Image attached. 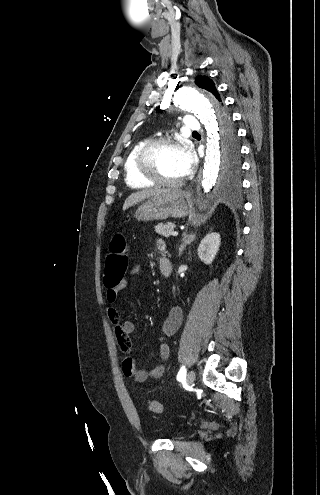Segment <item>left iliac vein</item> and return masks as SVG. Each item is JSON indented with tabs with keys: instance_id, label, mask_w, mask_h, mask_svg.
<instances>
[{
	"instance_id": "1",
	"label": "left iliac vein",
	"mask_w": 320,
	"mask_h": 495,
	"mask_svg": "<svg viewBox=\"0 0 320 495\" xmlns=\"http://www.w3.org/2000/svg\"><path fill=\"white\" fill-rule=\"evenodd\" d=\"M195 380V372L190 370L186 376V382L188 385H192Z\"/></svg>"
}]
</instances>
